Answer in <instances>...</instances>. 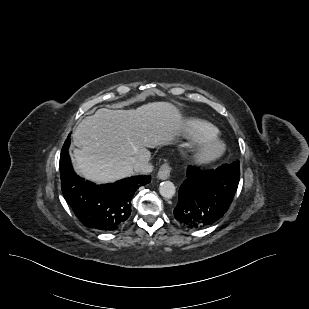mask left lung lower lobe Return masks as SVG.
<instances>
[{
	"instance_id": "1",
	"label": "left lung lower lobe",
	"mask_w": 309,
	"mask_h": 309,
	"mask_svg": "<svg viewBox=\"0 0 309 309\" xmlns=\"http://www.w3.org/2000/svg\"><path fill=\"white\" fill-rule=\"evenodd\" d=\"M239 180L240 171L229 164L208 171L189 166L179 189L175 218L190 229L213 225L229 209Z\"/></svg>"
}]
</instances>
